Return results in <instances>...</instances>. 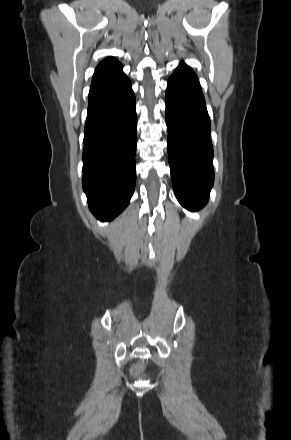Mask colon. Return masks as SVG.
<instances>
[{
  "label": "colon",
  "mask_w": 291,
  "mask_h": 440,
  "mask_svg": "<svg viewBox=\"0 0 291 440\" xmlns=\"http://www.w3.org/2000/svg\"><path fill=\"white\" fill-rule=\"evenodd\" d=\"M139 365H135L134 367H133V372H134V374H136V375H138L139 374Z\"/></svg>",
  "instance_id": "obj_1"
}]
</instances>
